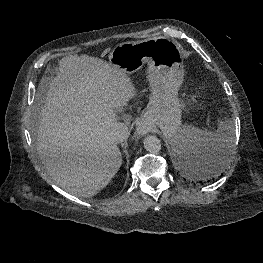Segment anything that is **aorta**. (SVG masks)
<instances>
[{
	"label": "aorta",
	"instance_id": "1",
	"mask_svg": "<svg viewBox=\"0 0 263 263\" xmlns=\"http://www.w3.org/2000/svg\"><path fill=\"white\" fill-rule=\"evenodd\" d=\"M144 148L150 153H157L161 150L160 140L153 135H149L144 139Z\"/></svg>",
	"mask_w": 263,
	"mask_h": 263
}]
</instances>
